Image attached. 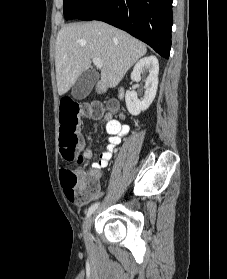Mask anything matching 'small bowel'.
Masks as SVG:
<instances>
[{
	"instance_id": "obj_1",
	"label": "small bowel",
	"mask_w": 227,
	"mask_h": 279,
	"mask_svg": "<svg viewBox=\"0 0 227 279\" xmlns=\"http://www.w3.org/2000/svg\"><path fill=\"white\" fill-rule=\"evenodd\" d=\"M104 121L106 122V132L109 135L108 144L105 150L100 153L99 159L91 163L89 168L84 172L85 175L94 178L97 185H99L102 170L108 167L116 147L121 143L122 137L129 132V126L114 119L109 112L104 114ZM87 139L91 140L90 137H87ZM83 156L86 160H90L93 157V150L90 147L86 148L83 151ZM99 193L100 190L98 188L95 194Z\"/></svg>"
}]
</instances>
